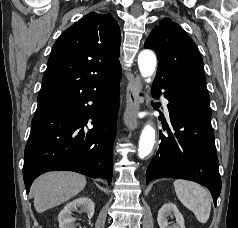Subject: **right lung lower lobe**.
I'll list each match as a JSON object with an SVG mask.
<instances>
[{"label": "right lung lower lobe", "instance_id": "right-lung-lower-lobe-1", "mask_svg": "<svg viewBox=\"0 0 238 228\" xmlns=\"http://www.w3.org/2000/svg\"><path fill=\"white\" fill-rule=\"evenodd\" d=\"M119 81L56 105L37 108L24 151L27 193L33 180L48 171H75L105 178L111 184ZM89 119L93 120L92 129L86 126Z\"/></svg>", "mask_w": 238, "mask_h": 228}]
</instances>
